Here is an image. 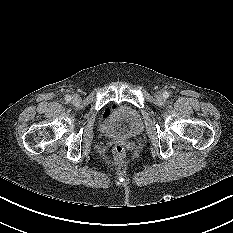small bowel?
I'll use <instances>...</instances> for the list:
<instances>
[{"instance_id":"c3829d8e","label":"small bowel","mask_w":233,"mask_h":233,"mask_svg":"<svg viewBox=\"0 0 233 233\" xmlns=\"http://www.w3.org/2000/svg\"><path fill=\"white\" fill-rule=\"evenodd\" d=\"M114 108H116V107L114 106L113 108H108V109H106L105 112L103 113L102 120H104V119L108 116V114L111 113V111H112Z\"/></svg>"}]
</instances>
